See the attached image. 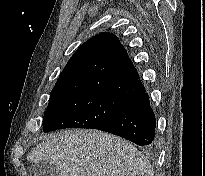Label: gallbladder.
<instances>
[{"label": "gallbladder", "instance_id": "1", "mask_svg": "<svg viewBox=\"0 0 205 176\" xmlns=\"http://www.w3.org/2000/svg\"><path fill=\"white\" fill-rule=\"evenodd\" d=\"M30 176H58V170L49 162L33 163L29 167Z\"/></svg>", "mask_w": 205, "mask_h": 176}]
</instances>
